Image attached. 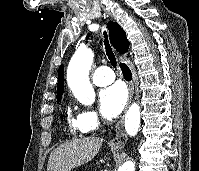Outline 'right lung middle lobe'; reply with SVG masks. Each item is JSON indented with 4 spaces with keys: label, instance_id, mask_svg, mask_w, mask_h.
Segmentation results:
<instances>
[{
    "label": "right lung middle lobe",
    "instance_id": "dd1d6c3e",
    "mask_svg": "<svg viewBox=\"0 0 199 171\" xmlns=\"http://www.w3.org/2000/svg\"><path fill=\"white\" fill-rule=\"evenodd\" d=\"M61 99H57V103L60 101Z\"/></svg>",
    "mask_w": 199,
    "mask_h": 171
}]
</instances>
